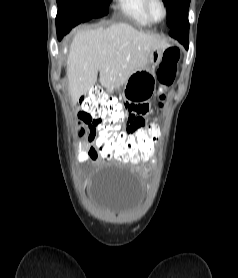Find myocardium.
<instances>
[{
  "instance_id": "myocardium-1",
  "label": "myocardium",
  "mask_w": 238,
  "mask_h": 278,
  "mask_svg": "<svg viewBox=\"0 0 238 278\" xmlns=\"http://www.w3.org/2000/svg\"><path fill=\"white\" fill-rule=\"evenodd\" d=\"M154 1H157L162 6L163 16L160 19H155L154 16L152 15L151 5ZM144 7H145V11H146L148 18L153 23L162 22L166 18L167 13H168V9H167V6H166V3L164 0H144Z\"/></svg>"
}]
</instances>
